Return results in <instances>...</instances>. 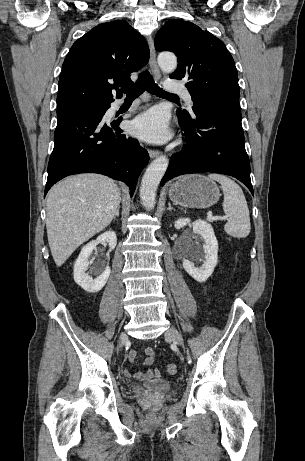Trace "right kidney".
<instances>
[{
  "label": "right kidney",
  "instance_id": "1",
  "mask_svg": "<svg viewBox=\"0 0 305 461\" xmlns=\"http://www.w3.org/2000/svg\"><path fill=\"white\" fill-rule=\"evenodd\" d=\"M108 242L109 248L114 249L117 244V236L114 231H107L97 237L96 240H92L87 243L81 250L78 258L74 264V280L75 282L85 291L89 293L99 292L107 283L111 273L109 266L105 268H98L96 270L97 277L95 279L86 273L89 266L88 258L90 254L96 249V246L101 242Z\"/></svg>",
  "mask_w": 305,
  "mask_h": 461
}]
</instances>
